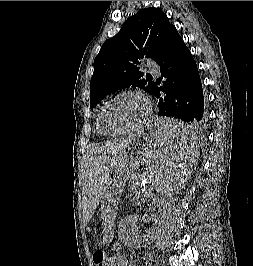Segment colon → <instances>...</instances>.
<instances>
[{
    "mask_svg": "<svg viewBox=\"0 0 253 266\" xmlns=\"http://www.w3.org/2000/svg\"><path fill=\"white\" fill-rule=\"evenodd\" d=\"M94 262L97 266H118L119 259L108 257L103 251H97L93 255Z\"/></svg>",
    "mask_w": 253,
    "mask_h": 266,
    "instance_id": "colon-1",
    "label": "colon"
}]
</instances>
